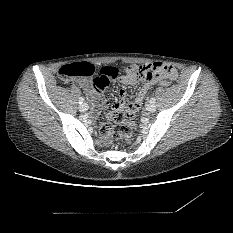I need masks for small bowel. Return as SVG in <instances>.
<instances>
[{"label": "small bowel", "mask_w": 233, "mask_h": 233, "mask_svg": "<svg viewBox=\"0 0 233 233\" xmlns=\"http://www.w3.org/2000/svg\"><path fill=\"white\" fill-rule=\"evenodd\" d=\"M117 75H118V69L116 67L113 66L104 67L101 81L98 84L95 83L96 84L95 90L91 88V81L87 78H78L76 79V83L90 97L96 99L97 101L96 110L100 112H109L110 110H121L129 106L136 110L141 105L145 95L148 93V91L153 85H157L160 87L166 86L168 85L169 81L175 76V74H172V76H160L153 83H149V82L144 83L132 102L127 101V93L124 89H121L119 91V99L116 102L111 103L105 96L104 91L108 83L116 79ZM119 81L124 86H134L139 82L138 79L131 78L125 74L119 78Z\"/></svg>", "instance_id": "1"}]
</instances>
